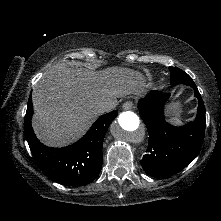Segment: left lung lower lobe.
I'll return each instance as SVG.
<instances>
[{"label":"left lung lower lobe","mask_w":221,"mask_h":221,"mask_svg":"<svg viewBox=\"0 0 221 221\" xmlns=\"http://www.w3.org/2000/svg\"><path fill=\"white\" fill-rule=\"evenodd\" d=\"M187 86L194 89L199 105L196 120L182 127L165 121L164 104L170 94L152 91L138 102L141 118L149 133L148 153L140 163L152 177H166L181 171L201 149L206 126L205 107L195 83L189 82Z\"/></svg>","instance_id":"0a47b994"}]
</instances>
